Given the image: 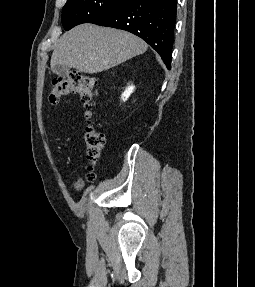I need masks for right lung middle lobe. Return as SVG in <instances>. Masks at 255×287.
<instances>
[{"instance_id": "right-lung-middle-lobe-1", "label": "right lung middle lobe", "mask_w": 255, "mask_h": 287, "mask_svg": "<svg viewBox=\"0 0 255 287\" xmlns=\"http://www.w3.org/2000/svg\"><path fill=\"white\" fill-rule=\"evenodd\" d=\"M126 0H67L62 10V24L65 30L91 22L102 13L124 3Z\"/></svg>"}]
</instances>
